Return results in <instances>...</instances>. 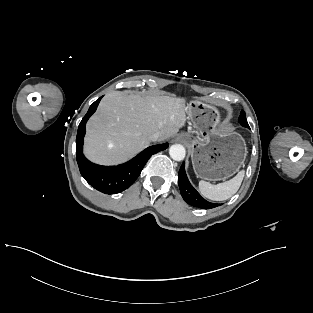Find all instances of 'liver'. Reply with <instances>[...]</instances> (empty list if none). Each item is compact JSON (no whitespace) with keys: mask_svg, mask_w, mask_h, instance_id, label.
Returning a JSON list of instances; mask_svg holds the SVG:
<instances>
[{"mask_svg":"<svg viewBox=\"0 0 313 313\" xmlns=\"http://www.w3.org/2000/svg\"><path fill=\"white\" fill-rule=\"evenodd\" d=\"M183 98L113 91L104 96L87 123L85 155L98 164H118L150 143L175 135L186 122Z\"/></svg>","mask_w":313,"mask_h":313,"instance_id":"6515ba94","label":"liver"}]
</instances>
